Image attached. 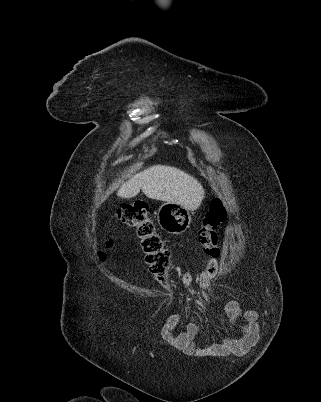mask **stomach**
Returning a JSON list of instances; mask_svg holds the SVG:
<instances>
[{"label": "stomach", "instance_id": "obj_1", "mask_svg": "<svg viewBox=\"0 0 321 402\" xmlns=\"http://www.w3.org/2000/svg\"><path fill=\"white\" fill-rule=\"evenodd\" d=\"M157 221L160 227L170 234H181L190 225L189 210L176 203L165 202L157 212Z\"/></svg>", "mask_w": 321, "mask_h": 402}]
</instances>
